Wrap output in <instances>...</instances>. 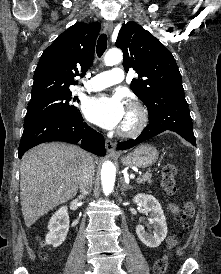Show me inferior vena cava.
Listing matches in <instances>:
<instances>
[{
	"label": "inferior vena cava",
	"mask_w": 221,
	"mask_h": 274,
	"mask_svg": "<svg viewBox=\"0 0 221 274\" xmlns=\"http://www.w3.org/2000/svg\"><path fill=\"white\" fill-rule=\"evenodd\" d=\"M94 173H95V167H94L93 159L91 156H89L84 161L82 175L79 183V189L82 195H87L91 191Z\"/></svg>",
	"instance_id": "602c4592"
}]
</instances>
